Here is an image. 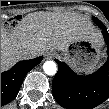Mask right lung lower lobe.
Segmentation results:
<instances>
[{"mask_svg": "<svg viewBox=\"0 0 109 109\" xmlns=\"http://www.w3.org/2000/svg\"><path fill=\"white\" fill-rule=\"evenodd\" d=\"M43 57L20 61L10 70L1 73V106L11 102L19 92L26 74L42 61Z\"/></svg>", "mask_w": 109, "mask_h": 109, "instance_id": "right-lung-lower-lobe-1", "label": "right lung lower lobe"}]
</instances>
